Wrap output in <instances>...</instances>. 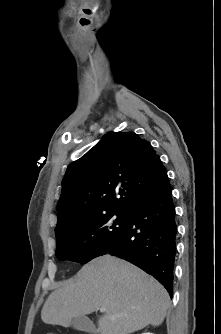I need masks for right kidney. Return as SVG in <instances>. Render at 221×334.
Listing matches in <instances>:
<instances>
[{"label": "right kidney", "instance_id": "right-kidney-1", "mask_svg": "<svg viewBox=\"0 0 221 334\" xmlns=\"http://www.w3.org/2000/svg\"><path fill=\"white\" fill-rule=\"evenodd\" d=\"M142 334H154V333L146 332V333H142Z\"/></svg>", "mask_w": 221, "mask_h": 334}]
</instances>
